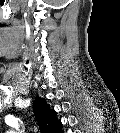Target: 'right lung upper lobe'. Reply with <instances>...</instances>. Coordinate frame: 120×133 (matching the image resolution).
Instances as JSON below:
<instances>
[{"label":"right lung upper lobe","mask_w":120,"mask_h":133,"mask_svg":"<svg viewBox=\"0 0 120 133\" xmlns=\"http://www.w3.org/2000/svg\"><path fill=\"white\" fill-rule=\"evenodd\" d=\"M33 110L43 133H59L61 132V121L55 116V111L50 109L43 98L37 97Z\"/></svg>","instance_id":"cb5924a9"}]
</instances>
